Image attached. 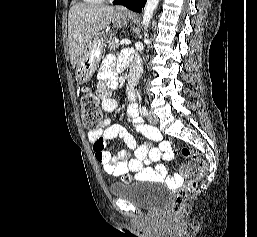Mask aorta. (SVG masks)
<instances>
[{
  "label": "aorta",
  "mask_w": 257,
  "mask_h": 237,
  "mask_svg": "<svg viewBox=\"0 0 257 237\" xmlns=\"http://www.w3.org/2000/svg\"><path fill=\"white\" fill-rule=\"evenodd\" d=\"M159 4V0H147L144 12H143V19H142V24L144 25V29L147 30L149 27V23L153 17V13L155 9L157 8ZM145 36V41L147 37V32L144 33Z\"/></svg>",
  "instance_id": "762f6f07"
}]
</instances>
